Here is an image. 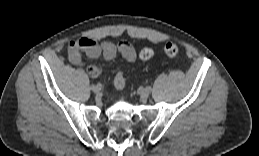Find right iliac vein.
<instances>
[{
	"label": "right iliac vein",
	"mask_w": 259,
	"mask_h": 156,
	"mask_svg": "<svg viewBox=\"0 0 259 156\" xmlns=\"http://www.w3.org/2000/svg\"><path fill=\"white\" fill-rule=\"evenodd\" d=\"M94 93L98 94L101 91V86L96 85L95 88L92 90Z\"/></svg>",
	"instance_id": "right-iliac-vein-1"
}]
</instances>
